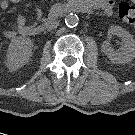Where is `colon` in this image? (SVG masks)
<instances>
[{"mask_svg":"<svg viewBox=\"0 0 135 135\" xmlns=\"http://www.w3.org/2000/svg\"><path fill=\"white\" fill-rule=\"evenodd\" d=\"M118 16L123 23L135 27V4L128 1L120 2Z\"/></svg>","mask_w":135,"mask_h":135,"instance_id":"5ec220e1","label":"colon"}]
</instances>
